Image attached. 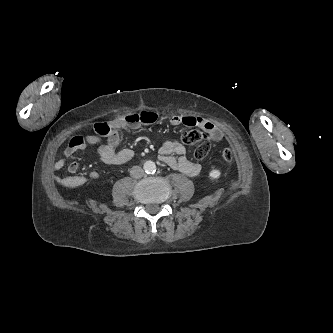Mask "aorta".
Segmentation results:
<instances>
[{
    "label": "aorta",
    "mask_w": 333,
    "mask_h": 333,
    "mask_svg": "<svg viewBox=\"0 0 333 333\" xmlns=\"http://www.w3.org/2000/svg\"><path fill=\"white\" fill-rule=\"evenodd\" d=\"M143 169L147 174L155 173L156 165L153 161L147 160L144 162Z\"/></svg>",
    "instance_id": "1"
}]
</instances>
